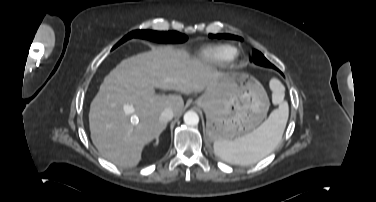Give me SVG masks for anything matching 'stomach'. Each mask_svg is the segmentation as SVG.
Returning <instances> with one entry per match:
<instances>
[{
  "instance_id": "obj_1",
  "label": "stomach",
  "mask_w": 376,
  "mask_h": 202,
  "mask_svg": "<svg viewBox=\"0 0 376 202\" xmlns=\"http://www.w3.org/2000/svg\"><path fill=\"white\" fill-rule=\"evenodd\" d=\"M196 105L207 118L211 140H233L254 130L265 118L269 99L263 86L245 73H227L208 86Z\"/></svg>"
}]
</instances>
